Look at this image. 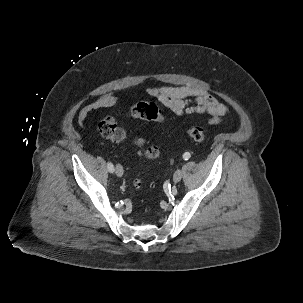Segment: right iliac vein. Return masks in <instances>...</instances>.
Instances as JSON below:
<instances>
[{
	"label": "right iliac vein",
	"instance_id": "63e3f726",
	"mask_svg": "<svg viewBox=\"0 0 303 303\" xmlns=\"http://www.w3.org/2000/svg\"><path fill=\"white\" fill-rule=\"evenodd\" d=\"M115 173L118 177L123 176V173H124L123 167L121 165L117 164L115 167Z\"/></svg>",
	"mask_w": 303,
	"mask_h": 303
}]
</instances>
